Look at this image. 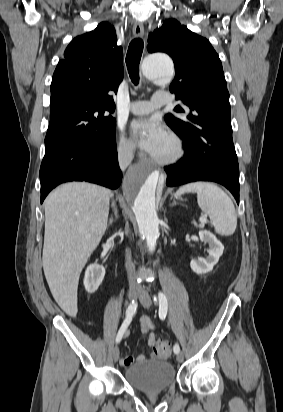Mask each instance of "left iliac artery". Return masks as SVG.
<instances>
[{
  "label": "left iliac artery",
  "instance_id": "1",
  "mask_svg": "<svg viewBox=\"0 0 283 412\" xmlns=\"http://www.w3.org/2000/svg\"><path fill=\"white\" fill-rule=\"evenodd\" d=\"M154 301L158 302L159 304V318L161 320H164L166 318L167 310H168V302H167L166 296L162 292H159L158 298L154 296ZM173 350H174V353L176 354L179 353L180 351L179 345L175 344Z\"/></svg>",
  "mask_w": 283,
  "mask_h": 412
}]
</instances>
